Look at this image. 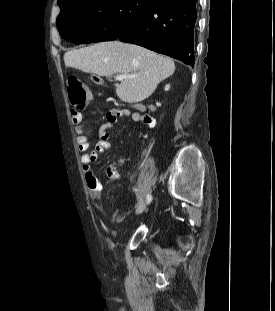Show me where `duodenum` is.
<instances>
[{
  "label": "duodenum",
  "instance_id": "1",
  "mask_svg": "<svg viewBox=\"0 0 275 311\" xmlns=\"http://www.w3.org/2000/svg\"><path fill=\"white\" fill-rule=\"evenodd\" d=\"M91 80L93 81L94 84H101L102 83V78L100 77L99 74H92Z\"/></svg>",
  "mask_w": 275,
  "mask_h": 311
}]
</instances>
